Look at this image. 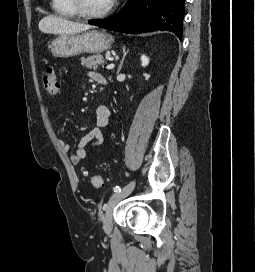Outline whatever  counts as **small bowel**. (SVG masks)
Here are the masks:
<instances>
[{"label":"small bowel","mask_w":255,"mask_h":272,"mask_svg":"<svg viewBox=\"0 0 255 272\" xmlns=\"http://www.w3.org/2000/svg\"><path fill=\"white\" fill-rule=\"evenodd\" d=\"M89 78L98 84L105 83V77L95 71L89 72ZM95 114L96 127L80 138L75 153L69 156L70 162L74 165L80 164L87 157V148L100 146L104 142V131L109 125L112 112L108 106L99 105L96 108ZM59 145L64 152L70 150L69 144L63 139L59 140Z\"/></svg>","instance_id":"1"}]
</instances>
